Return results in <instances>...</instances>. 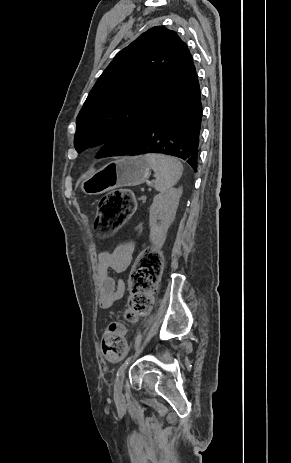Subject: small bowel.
Returning a JSON list of instances; mask_svg holds the SVG:
<instances>
[{
    "mask_svg": "<svg viewBox=\"0 0 291 463\" xmlns=\"http://www.w3.org/2000/svg\"><path fill=\"white\" fill-rule=\"evenodd\" d=\"M134 244L124 242L113 252L102 251L97 256L95 268V283L99 295V307L108 309L119 302L125 295L126 282L123 278L115 280L109 275L113 270L118 274L125 273L131 263Z\"/></svg>",
    "mask_w": 291,
    "mask_h": 463,
    "instance_id": "small-bowel-1",
    "label": "small bowel"
}]
</instances>
